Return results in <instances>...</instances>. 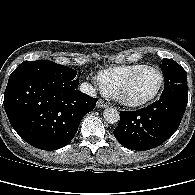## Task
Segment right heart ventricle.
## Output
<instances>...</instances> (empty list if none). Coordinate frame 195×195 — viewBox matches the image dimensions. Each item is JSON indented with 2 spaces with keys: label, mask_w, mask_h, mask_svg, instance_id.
Segmentation results:
<instances>
[{
  "label": "right heart ventricle",
  "mask_w": 195,
  "mask_h": 195,
  "mask_svg": "<svg viewBox=\"0 0 195 195\" xmlns=\"http://www.w3.org/2000/svg\"><path fill=\"white\" fill-rule=\"evenodd\" d=\"M142 64L123 65L113 67L102 71L98 79L101 82L106 94L115 97L126 79L137 69L142 67Z\"/></svg>",
  "instance_id": "1"
}]
</instances>
